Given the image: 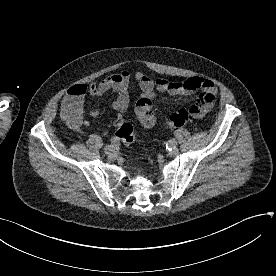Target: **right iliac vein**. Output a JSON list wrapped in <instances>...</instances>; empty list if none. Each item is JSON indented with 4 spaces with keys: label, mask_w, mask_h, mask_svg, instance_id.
I'll list each match as a JSON object with an SVG mask.
<instances>
[{
    "label": "right iliac vein",
    "mask_w": 276,
    "mask_h": 276,
    "mask_svg": "<svg viewBox=\"0 0 276 276\" xmlns=\"http://www.w3.org/2000/svg\"><path fill=\"white\" fill-rule=\"evenodd\" d=\"M115 149H116V147L115 146H111V145H107L104 148L105 153H107V154H111V153L115 152Z\"/></svg>",
    "instance_id": "1"
}]
</instances>
